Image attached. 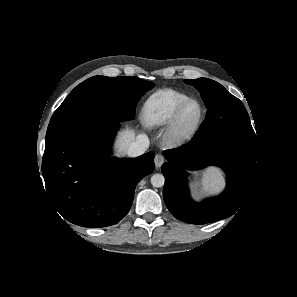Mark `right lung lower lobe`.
I'll use <instances>...</instances> for the list:
<instances>
[{
    "mask_svg": "<svg viewBox=\"0 0 297 297\" xmlns=\"http://www.w3.org/2000/svg\"><path fill=\"white\" fill-rule=\"evenodd\" d=\"M118 122L89 126L45 147L46 191L60 214L83 227H105L129 211L137 183L153 172L154 153L118 159L109 148Z\"/></svg>",
    "mask_w": 297,
    "mask_h": 297,
    "instance_id": "98d812e1",
    "label": "right lung lower lobe"
}]
</instances>
